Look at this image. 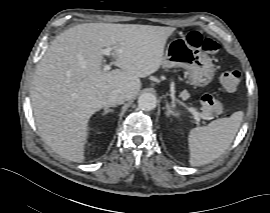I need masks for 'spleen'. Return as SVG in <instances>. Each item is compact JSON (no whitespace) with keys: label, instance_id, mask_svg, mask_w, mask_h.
Segmentation results:
<instances>
[{"label":"spleen","instance_id":"1","mask_svg":"<svg viewBox=\"0 0 270 213\" xmlns=\"http://www.w3.org/2000/svg\"><path fill=\"white\" fill-rule=\"evenodd\" d=\"M242 119L243 112L238 111L207 126L191 129L188 135L189 163L201 166L221 156L234 140Z\"/></svg>","mask_w":270,"mask_h":213}]
</instances>
